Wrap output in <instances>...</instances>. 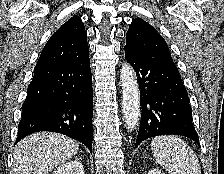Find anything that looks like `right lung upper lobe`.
<instances>
[{"mask_svg":"<svg viewBox=\"0 0 224 174\" xmlns=\"http://www.w3.org/2000/svg\"><path fill=\"white\" fill-rule=\"evenodd\" d=\"M88 55L89 47L84 24L78 16H73L46 43L35 70L81 59Z\"/></svg>","mask_w":224,"mask_h":174,"instance_id":"cb5924a9","label":"right lung upper lobe"}]
</instances>
